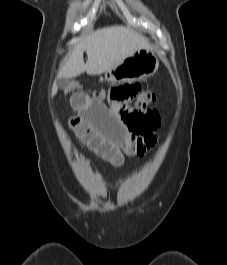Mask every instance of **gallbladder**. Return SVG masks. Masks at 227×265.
I'll use <instances>...</instances> for the list:
<instances>
[{"label": "gallbladder", "mask_w": 227, "mask_h": 265, "mask_svg": "<svg viewBox=\"0 0 227 265\" xmlns=\"http://www.w3.org/2000/svg\"><path fill=\"white\" fill-rule=\"evenodd\" d=\"M57 85L59 88L64 89L68 85V79L67 78H59L57 80Z\"/></svg>", "instance_id": "gallbladder-1"}]
</instances>
